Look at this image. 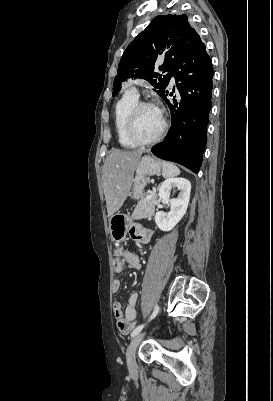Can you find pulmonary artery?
<instances>
[{"label":"pulmonary artery","mask_w":273,"mask_h":401,"mask_svg":"<svg viewBox=\"0 0 273 401\" xmlns=\"http://www.w3.org/2000/svg\"><path fill=\"white\" fill-rule=\"evenodd\" d=\"M174 82H175V78L172 77V78H171V84L173 85ZM133 86H138V83H133ZM127 91H131V88H127ZM131 93L134 94V95H136V96L139 95L137 89H133V90L131 91Z\"/></svg>","instance_id":"pulmonary-artery-1"}]
</instances>
